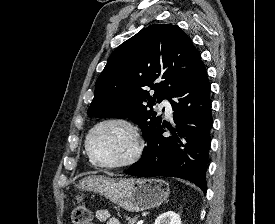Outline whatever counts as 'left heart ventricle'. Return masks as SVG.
Returning a JSON list of instances; mask_svg holds the SVG:
<instances>
[{
  "label": "left heart ventricle",
  "instance_id": "obj_1",
  "mask_svg": "<svg viewBox=\"0 0 275 224\" xmlns=\"http://www.w3.org/2000/svg\"><path fill=\"white\" fill-rule=\"evenodd\" d=\"M90 146L99 161L117 163L131 155L134 142L130 131L125 126L107 124L94 132Z\"/></svg>",
  "mask_w": 275,
  "mask_h": 224
}]
</instances>
